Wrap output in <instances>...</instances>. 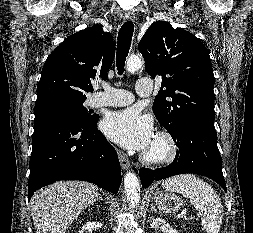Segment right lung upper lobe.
Wrapping results in <instances>:
<instances>
[{
    "mask_svg": "<svg viewBox=\"0 0 253 233\" xmlns=\"http://www.w3.org/2000/svg\"><path fill=\"white\" fill-rule=\"evenodd\" d=\"M114 56L113 37L100 24L69 36L45 61L36 103L53 97L86 99L85 93L93 91L91 81L107 78Z\"/></svg>",
    "mask_w": 253,
    "mask_h": 233,
    "instance_id": "obj_1",
    "label": "right lung upper lobe"
}]
</instances>
